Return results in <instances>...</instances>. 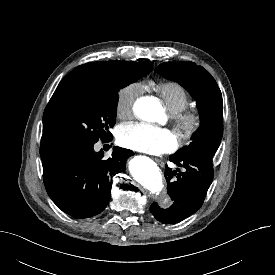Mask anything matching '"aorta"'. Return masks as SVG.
<instances>
[{
  "label": "aorta",
  "mask_w": 275,
  "mask_h": 275,
  "mask_svg": "<svg viewBox=\"0 0 275 275\" xmlns=\"http://www.w3.org/2000/svg\"><path fill=\"white\" fill-rule=\"evenodd\" d=\"M138 117L146 121H155L161 114L160 103L154 97H142L134 105ZM134 179L152 194H159L163 189V179L159 167L148 158L136 157L130 164Z\"/></svg>",
  "instance_id": "obj_1"
}]
</instances>
